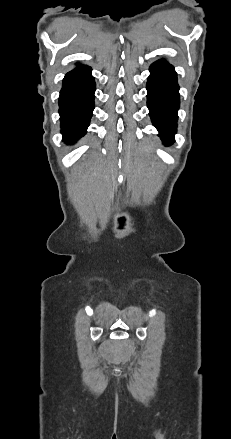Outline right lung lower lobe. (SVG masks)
I'll return each mask as SVG.
<instances>
[{
	"label": "right lung lower lobe",
	"instance_id": "right-lung-lower-lobe-1",
	"mask_svg": "<svg viewBox=\"0 0 231 439\" xmlns=\"http://www.w3.org/2000/svg\"><path fill=\"white\" fill-rule=\"evenodd\" d=\"M95 82L88 66L67 73L59 97L63 141L75 143L85 135L94 109Z\"/></svg>",
	"mask_w": 231,
	"mask_h": 439
}]
</instances>
